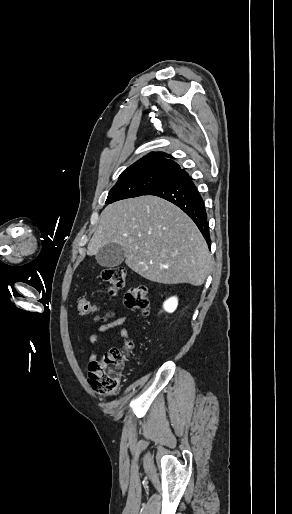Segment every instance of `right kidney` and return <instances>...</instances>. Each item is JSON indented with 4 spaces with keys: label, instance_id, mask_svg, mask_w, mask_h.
I'll use <instances>...</instances> for the list:
<instances>
[{
    "label": "right kidney",
    "instance_id": "right-kidney-1",
    "mask_svg": "<svg viewBox=\"0 0 292 514\" xmlns=\"http://www.w3.org/2000/svg\"><path fill=\"white\" fill-rule=\"evenodd\" d=\"M178 306V300L177 298H169V300H166L163 304L164 310L166 312H175L176 308Z\"/></svg>",
    "mask_w": 292,
    "mask_h": 514
}]
</instances>
